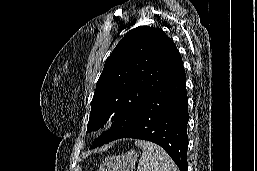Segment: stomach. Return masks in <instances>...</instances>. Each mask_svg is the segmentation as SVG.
I'll list each match as a JSON object with an SVG mask.
<instances>
[{
    "instance_id": "stomach-1",
    "label": "stomach",
    "mask_w": 257,
    "mask_h": 171,
    "mask_svg": "<svg viewBox=\"0 0 257 171\" xmlns=\"http://www.w3.org/2000/svg\"><path fill=\"white\" fill-rule=\"evenodd\" d=\"M138 158L134 151H128L118 156H108L102 161L99 171H133Z\"/></svg>"
}]
</instances>
